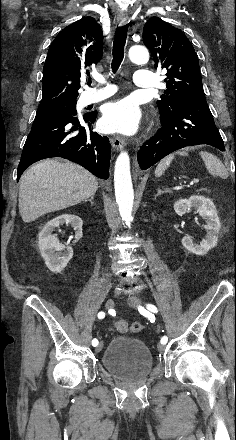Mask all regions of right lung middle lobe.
Masks as SVG:
<instances>
[{
    "label": "right lung middle lobe",
    "mask_w": 236,
    "mask_h": 440,
    "mask_svg": "<svg viewBox=\"0 0 236 440\" xmlns=\"http://www.w3.org/2000/svg\"><path fill=\"white\" fill-rule=\"evenodd\" d=\"M57 106L70 107V108L76 109V101L75 102H69V103L60 104V105H57Z\"/></svg>",
    "instance_id": "right-lung-middle-lobe-1"
}]
</instances>
